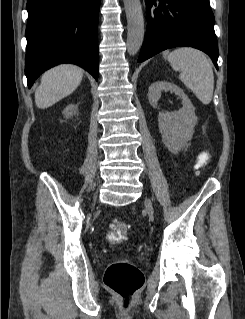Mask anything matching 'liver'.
I'll use <instances>...</instances> for the list:
<instances>
[{
  "mask_svg": "<svg viewBox=\"0 0 245 319\" xmlns=\"http://www.w3.org/2000/svg\"><path fill=\"white\" fill-rule=\"evenodd\" d=\"M83 70L75 65H60L41 76V83L35 91L38 108L46 109L66 96L80 85Z\"/></svg>",
  "mask_w": 245,
  "mask_h": 319,
  "instance_id": "liver-1",
  "label": "liver"
}]
</instances>
